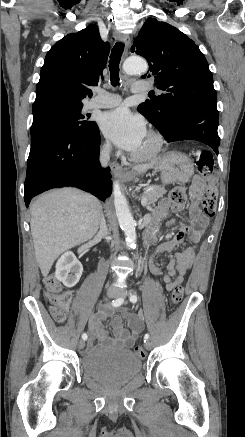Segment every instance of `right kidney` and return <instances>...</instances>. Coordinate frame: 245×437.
I'll return each instance as SVG.
<instances>
[{"label": "right kidney", "instance_id": "ca27d5eb", "mask_svg": "<svg viewBox=\"0 0 245 437\" xmlns=\"http://www.w3.org/2000/svg\"><path fill=\"white\" fill-rule=\"evenodd\" d=\"M83 272V266L72 252H65L56 263L55 277L66 287L75 286Z\"/></svg>", "mask_w": 245, "mask_h": 437}]
</instances>
